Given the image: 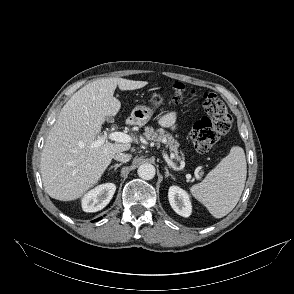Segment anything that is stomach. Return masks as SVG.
Wrapping results in <instances>:
<instances>
[{"instance_id":"0dacf381","label":"stomach","mask_w":294,"mask_h":294,"mask_svg":"<svg viewBox=\"0 0 294 294\" xmlns=\"http://www.w3.org/2000/svg\"><path fill=\"white\" fill-rule=\"evenodd\" d=\"M163 100V97L157 93H154L150 98L151 103L156 107L162 104ZM153 114L154 108L140 105L132 110L130 118L134 124L143 126L151 119Z\"/></svg>"}]
</instances>
